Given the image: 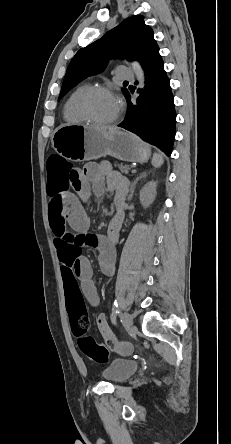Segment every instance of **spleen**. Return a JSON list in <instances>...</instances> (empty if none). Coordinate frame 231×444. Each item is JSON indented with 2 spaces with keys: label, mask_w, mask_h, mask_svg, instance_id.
<instances>
[{
  "label": "spleen",
  "mask_w": 231,
  "mask_h": 444,
  "mask_svg": "<svg viewBox=\"0 0 231 444\" xmlns=\"http://www.w3.org/2000/svg\"><path fill=\"white\" fill-rule=\"evenodd\" d=\"M163 164V157L160 153H154L152 158V165L156 168Z\"/></svg>",
  "instance_id": "1"
}]
</instances>
